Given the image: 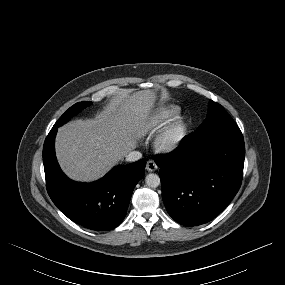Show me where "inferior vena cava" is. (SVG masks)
Segmentation results:
<instances>
[{
  "label": "inferior vena cava",
  "mask_w": 285,
  "mask_h": 285,
  "mask_svg": "<svg viewBox=\"0 0 285 285\" xmlns=\"http://www.w3.org/2000/svg\"><path fill=\"white\" fill-rule=\"evenodd\" d=\"M142 154L139 151H132L126 156V160L129 162H135L141 159Z\"/></svg>",
  "instance_id": "obj_1"
}]
</instances>
